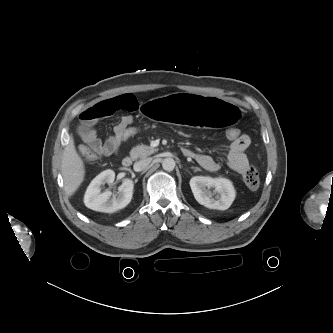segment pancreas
I'll list each match as a JSON object with an SVG mask.
<instances>
[{"mask_svg": "<svg viewBox=\"0 0 333 333\" xmlns=\"http://www.w3.org/2000/svg\"><path fill=\"white\" fill-rule=\"evenodd\" d=\"M157 152L156 148L150 147V146H145V145H137L136 147H134L131 152L130 155L133 158H146L147 156L153 154Z\"/></svg>", "mask_w": 333, "mask_h": 333, "instance_id": "1", "label": "pancreas"}]
</instances>
